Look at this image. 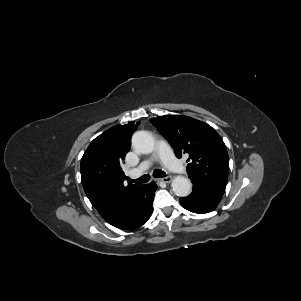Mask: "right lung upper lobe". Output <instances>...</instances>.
Listing matches in <instances>:
<instances>
[{
    "instance_id": "obj_1",
    "label": "right lung upper lobe",
    "mask_w": 301,
    "mask_h": 301,
    "mask_svg": "<svg viewBox=\"0 0 301 301\" xmlns=\"http://www.w3.org/2000/svg\"><path fill=\"white\" fill-rule=\"evenodd\" d=\"M137 124L117 125L96 137L81 159V180L92 205L111 225L122 215L129 200L140 187L123 185L121 165L130 148Z\"/></svg>"
}]
</instances>
